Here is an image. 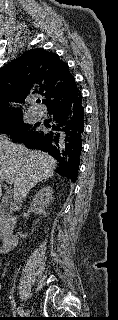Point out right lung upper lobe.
<instances>
[{"label":"right lung upper lobe","mask_w":118,"mask_h":320,"mask_svg":"<svg viewBox=\"0 0 118 320\" xmlns=\"http://www.w3.org/2000/svg\"><path fill=\"white\" fill-rule=\"evenodd\" d=\"M6 81L14 83V92L5 84ZM76 89L69 66L57 54L42 48L29 50L0 69V118L22 116V113L13 114L8 110L7 103L11 102L13 96L19 98L16 102L23 103L27 96L40 94L45 96L42 103L48 105L72 94Z\"/></svg>","instance_id":"cb5924a9"}]
</instances>
